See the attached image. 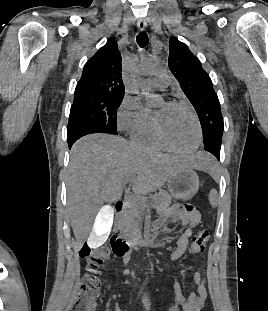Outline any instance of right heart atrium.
<instances>
[{
  "mask_svg": "<svg viewBox=\"0 0 268 311\" xmlns=\"http://www.w3.org/2000/svg\"><path fill=\"white\" fill-rule=\"evenodd\" d=\"M151 120L148 111L136 97H126L117 114L119 130L133 134L145 127Z\"/></svg>",
  "mask_w": 268,
  "mask_h": 311,
  "instance_id": "d8ad5b80",
  "label": "right heart atrium"
}]
</instances>
